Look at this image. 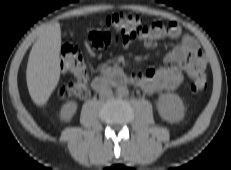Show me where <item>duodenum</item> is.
<instances>
[{
	"instance_id": "duodenum-1",
	"label": "duodenum",
	"mask_w": 231,
	"mask_h": 170,
	"mask_svg": "<svg viewBox=\"0 0 231 170\" xmlns=\"http://www.w3.org/2000/svg\"><path fill=\"white\" fill-rule=\"evenodd\" d=\"M135 81L124 76L119 71H114L108 76H97L92 81V87L95 90H100L108 85L119 86L123 84H134Z\"/></svg>"
}]
</instances>
